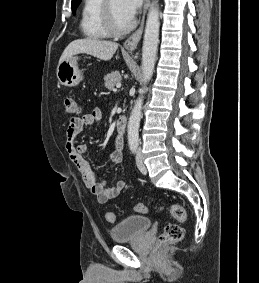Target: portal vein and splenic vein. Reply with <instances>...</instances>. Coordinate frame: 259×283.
Returning <instances> with one entry per match:
<instances>
[{"instance_id": "obj_1", "label": "portal vein and splenic vein", "mask_w": 259, "mask_h": 283, "mask_svg": "<svg viewBox=\"0 0 259 283\" xmlns=\"http://www.w3.org/2000/svg\"><path fill=\"white\" fill-rule=\"evenodd\" d=\"M116 87H117V88H120V87H121V84H120V83H118V84L116 85Z\"/></svg>"}]
</instances>
